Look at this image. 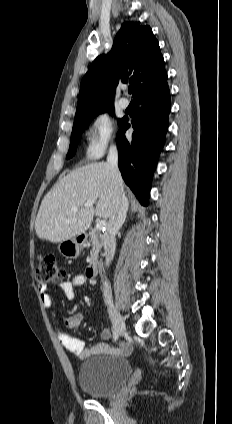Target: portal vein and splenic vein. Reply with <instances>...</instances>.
I'll list each match as a JSON object with an SVG mask.
<instances>
[{"label": "portal vein and splenic vein", "instance_id": "obj_1", "mask_svg": "<svg viewBox=\"0 0 232 424\" xmlns=\"http://www.w3.org/2000/svg\"><path fill=\"white\" fill-rule=\"evenodd\" d=\"M94 203H95V201H88V202L85 203V206L90 207V206H93ZM71 210L76 212L78 209H77V207H73ZM105 227H106V221L105 220H99L96 224V229H98V230L104 229Z\"/></svg>", "mask_w": 232, "mask_h": 424}]
</instances>
